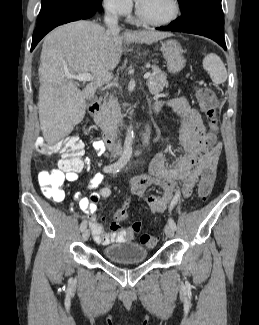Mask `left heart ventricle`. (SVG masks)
Returning <instances> with one entry per match:
<instances>
[{"label":"left heart ventricle","instance_id":"b2bd125f","mask_svg":"<svg viewBox=\"0 0 259 325\" xmlns=\"http://www.w3.org/2000/svg\"><path fill=\"white\" fill-rule=\"evenodd\" d=\"M140 5L144 14L153 19L165 18L172 10L170 0H144Z\"/></svg>","mask_w":259,"mask_h":325}]
</instances>
